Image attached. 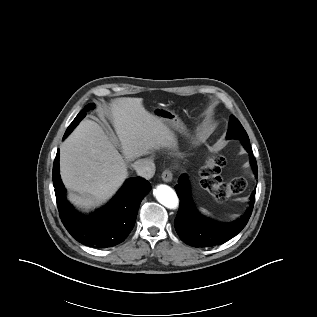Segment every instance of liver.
<instances>
[{
	"label": "liver",
	"instance_id": "liver-1",
	"mask_svg": "<svg viewBox=\"0 0 317 317\" xmlns=\"http://www.w3.org/2000/svg\"><path fill=\"white\" fill-rule=\"evenodd\" d=\"M109 119L123 156L94 121H82L60 147V173L72 193L69 200L90 208L110 199L128 176L127 162L153 149H175L177 141L142 98H116L108 106Z\"/></svg>",
	"mask_w": 317,
	"mask_h": 317
}]
</instances>
